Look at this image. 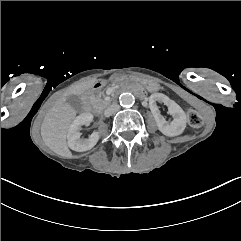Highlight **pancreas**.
<instances>
[{
	"instance_id": "obj_1",
	"label": "pancreas",
	"mask_w": 241,
	"mask_h": 241,
	"mask_svg": "<svg viewBox=\"0 0 241 241\" xmlns=\"http://www.w3.org/2000/svg\"><path fill=\"white\" fill-rule=\"evenodd\" d=\"M95 100H97L100 103V105L98 107L96 106ZM91 103L93 104L94 108H99V109L105 108L109 104L108 101H104V100L96 99V98L92 99Z\"/></svg>"
}]
</instances>
